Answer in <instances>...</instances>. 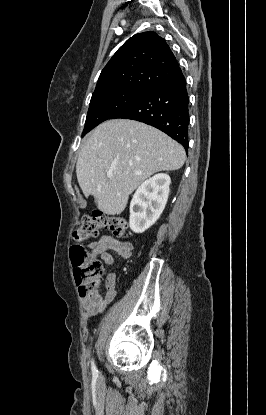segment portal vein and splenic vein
I'll return each instance as SVG.
<instances>
[{"instance_id":"obj_1","label":"portal vein and splenic vein","mask_w":266,"mask_h":415,"mask_svg":"<svg viewBox=\"0 0 266 415\" xmlns=\"http://www.w3.org/2000/svg\"><path fill=\"white\" fill-rule=\"evenodd\" d=\"M107 177H108V178L113 177V173H112V172L107 173Z\"/></svg>"}]
</instances>
